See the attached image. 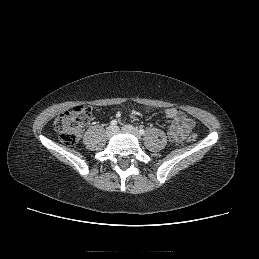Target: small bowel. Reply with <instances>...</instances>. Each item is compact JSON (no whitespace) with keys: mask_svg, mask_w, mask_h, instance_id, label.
Masks as SVG:
<instances>
[{"mask_svg":"<svg viewBox=\"0 0 259 259\" xmlns=\"http://www.w3.org/2000/svg\"><path fill=\"white\" fill-rule=\"evenodd\" d=\"M164 116L171 120L167 135L172 142H181L192 131L195 122L177 108H167Z\"/></svg>","mask_w":259,"mask_h":259,"instance_id":"small-bowel-1","label":"small bowel"}]
</instances>
